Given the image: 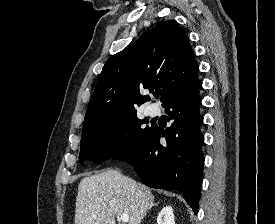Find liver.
<instances>
[{"label": "liver", "instance_id": "6515ba94", "mask_svg": "<svg viewBox=\"0 0 275 224\" xmlns=\"http://www.w3.org/2000/svg\"><path fill=\"white\" fill-rule=\"evenodd\" d=\"M154 196L145 185L116 170L84 177L76 198L75 224H116L126 214L128 224H140Z\"/></svg>", "mask_w": 275, "mask_h": 224}]
</instances>
